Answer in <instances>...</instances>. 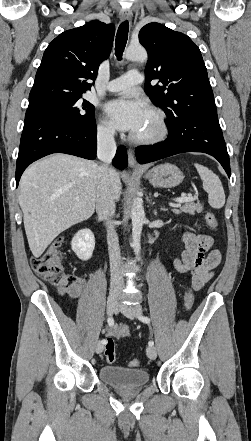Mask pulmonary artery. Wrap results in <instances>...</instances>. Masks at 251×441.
I'll return each instance as SVG.
<instances>
[{
  "mask_svg": "<svg viewBox=\"0 0 251 441\" xmlns=\"http://www.w3.org/2000/svg\"><path fill=\"white\" fill-rule=\"evenodd\" d=\"M142 81L143 75L140 72L130 70L126 74L111 80L107 84V90L110 92L126 91L131 89L133 86L142 83Z\"/></svg>",
  "mask_w": 251,
  "mask_h": 441,
  "instance_id": "1",
  "label": "pulmonary artery"
}]
</instances>
